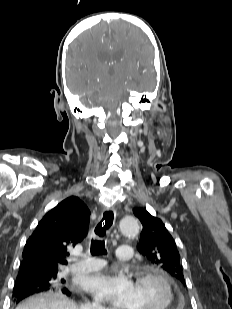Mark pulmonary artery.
<instances>
[{"label": "pulmonary artery", "instance_id": "1", "mask_svg": "<svg viewBox=\"0 0 232 309\" xmlns=\"http://www.w3.org/2000/svg\"><path fill=\"white\" fill-rule=\"evenodd\" d=\"M116 257L121 261H130L133 259V249L131 246H119L116 249ZM105 262L100 259H84L69 266L72 273L84 274L101 269Z\"/></svg>", "mask_w": 232, "mask_h": 309}]
</instances>
